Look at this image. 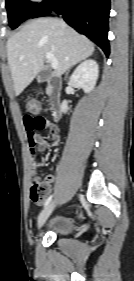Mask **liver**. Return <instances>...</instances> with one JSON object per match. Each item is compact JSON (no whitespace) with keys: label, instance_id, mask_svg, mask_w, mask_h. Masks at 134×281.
Returning a JSON list of instances; mask_svg holds the SVG:
<instances>
[{"label":"liver","instance_id":"liver-1","mask_svg":"<svg viewBox=\"0 0 134 281\" xmlns=\"http://www.w3.org/2000/svg\"><path fill=\"white\" fill-rule=\"evenodd\" d=\"M93 52L94 44L87 37L59 19L39 18L28 22L7 42L15 95H20L42 70L47 53H52L58 61L54 75L60 77Z\"/></svg>","mask_w":134,"mask_h":281}]
</instances>
